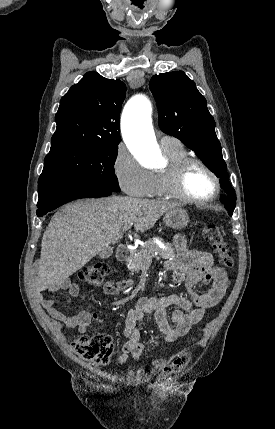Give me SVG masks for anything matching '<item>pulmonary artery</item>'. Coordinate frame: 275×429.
<instances>
[{"label":"pulmonary artery","mask_w":275,"mask_h":429,"mask_svg":"<svg viewBox=\"0 0 275 429\" xmlns=\"http://www.w3.org/2000/svg\"><path fill=\"white\" fill-rule=\"evenodd\" d=\"M160 144L162 147H174L181 145L178 139L168 135H163L160 138Z\"/></svg>","instance_id":"pulmonary-artery-1"}]
</instances>
